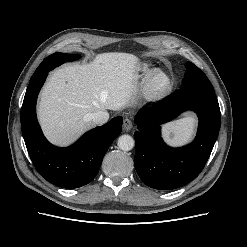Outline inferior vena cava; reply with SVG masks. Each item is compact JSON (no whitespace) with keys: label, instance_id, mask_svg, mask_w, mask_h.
<instances>
[{"label":"inferior vena cava","instance_id":"inferior-vena-cava-1","mask_svg":"<svg viewBox=\"0 0 247 247\" xmlns=\"http://www.w3.org/2000/svg\"><path fill=\"white\" fill-rule=\"evenodd\" d=\"M90 117L95 124L102 125L108 121L109 113L106 111H96Z\"/></svg>","mask_w":247,"mask_h":247}]
</instances>
